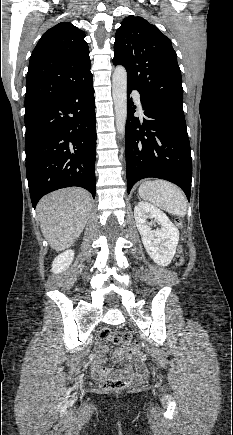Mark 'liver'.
Returning a JSON list of instances; mask_svg holds the SVG:
<instances>
[{
	"mask_svg": "<svg viewBox=\"0 0 233 435\" xmlns=\"http://www.w3.org/2000/svg\"><path fill=\"white\" fill-rule=\"evenodd\" d=\"M92 208V197L77 187L44 196L37 205L40 228L52 249L71 247L83 231Z\"/></svg>",
	"mask_w": 233,
	"mask_h": 435,
	"instance_id": "liver-1",
	"label": "liver"
}]
</instances>
